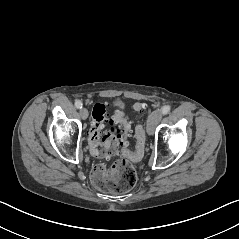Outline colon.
I'll use <instances>...</instances> for the list:
<instances>
[{
    "label": "colon",
    "instance_id": "5ec220e1",
    "mask_svg": "<svg viewBox=\"0 0 239 239\" xmlns=\"http://www.w3.org/2000/svg\"><path fill=\"white\" fill-rule=\"evenodd\" d=\"M135 110L142 112L146 105L136 103ZM106 123H109V131L101 135ZM131 134V127L125 114H115L109 117L107 106L97 103L91 113V123L88 132V143L91 153L96 157H110L120 155L110 165H96L93 168L91 179L93 184L104 192L124 193L132 189L137 180V173L130 160H138L144 153L146 135L142 124L135 127L136 148L129 152L126 148V140Z\"/></svg>",
    "mask_w": 239,
    "mask_h": 239
}]
</instances>
